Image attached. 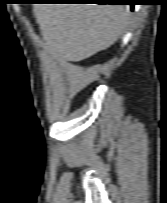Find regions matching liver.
<instances>
[{
	"mask_svg": "<svg viewBox=\"0 0 167 203\" xmlns=\"http://www.w3.org/2000/svg\"><path fill=\"white\" fill-rule=\"evenodd\" d=\"M34 13L49 50L73 62L109 48L129 22L121 5L38 4Z\"/></svg>",
	"mask_w": 167,
	"mask_h": 203,
	"instance_id": "1",
	"label": "liver"
}]
</instances>
